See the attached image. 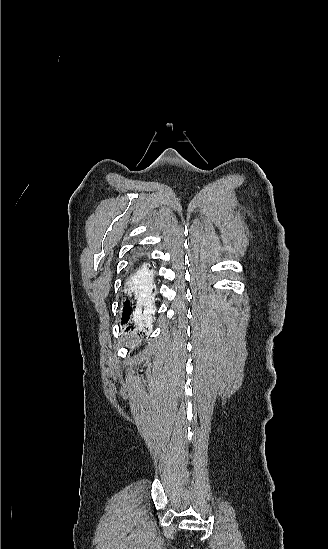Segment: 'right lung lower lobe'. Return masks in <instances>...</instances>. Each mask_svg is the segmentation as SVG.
I'll return each mask as SVG.
<instances>
[{
  "label": "right lung lower lobe",
  "instance_id": "1",
  "mask_svg": "<svg viewBox=\"0 0 328 549\" xmlns=\"http://www.w3.org/2000/svg\"><path fill=\"white\" fill-rule=\"evenodd\" d=\"M151 284L152 271L147 263L142 264L128 274L126 279V287L131 289V291L123 296V313L121 324L129 322L132 318L133 311L135 312L139 297H141L143 293L150 291Z\"/></svg>",
  "mask_w": 328,
  "mask_h": 549
}]
</instances>
